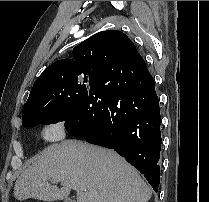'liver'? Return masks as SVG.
<instances>
[{
    "label": "liver",
    "instance_id": "6515ba94",
    "mask_svg": "<svg viewBox=\"0 0 209 202\" xmlns=\"http://www.w3.org/2000/svg\"><path fill=\"white\" fill-rule=\"evenodd\" d=\"M57 178L62 187L50 185ZM71 189L77 202H147L151 188L122 157L112 150L80 140H65L45 148L18 177L17 200L67 199Z\"/></svg>",
    "mask_w": 209,
    "mask_h": 202
}]
</instances>
